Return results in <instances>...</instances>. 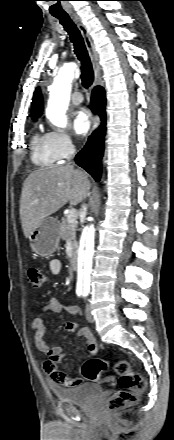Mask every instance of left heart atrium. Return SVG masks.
Masks as SVG:
<instances>
[{
    "instance_id": "1",
    "label": "left heart atrium",
    "mask_w": 174,
    "mask_h": 440,
    "mask_svg": "<svg viewBox=\"0 0 174 440\" xmlns=\"http://www.w3.org/2000/svg\"><path fill=\"white\" fill-rule=\"evenodd\" d=\"M91 116L86 109H79L73 115V129L78 136H84L90 129Z\"/></svg>"
}]
</instances>
